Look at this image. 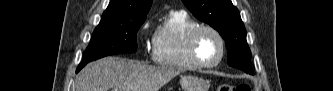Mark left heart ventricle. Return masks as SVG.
Returning a JSON list of instances; mask_svg holds the SVG:
<instances>
[{"mask_svg":"<svg viewBox=\"0 0 333 91\" xmlns=\"http://www.w3.org/2000/svg\"><path fill=\"white\" fill-rule=\"evenodd\" d=\"M197 53L203 62L216 61L220 54V44L215 35L208 31L202 32L197 41Z\"/></svg>","mask_w":333,"mask_h":91,"instance_id":"1","label":"left heart ventricle"}]
</instances>
